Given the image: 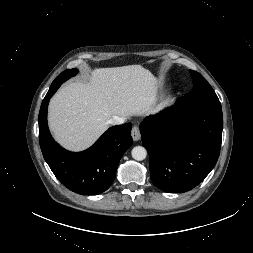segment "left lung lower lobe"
I'll use <instances>...</instances> for the list:
<instances>
[{"instance_id": "1", "label": "left lung lower lobe", "mask_w": 253, "mask_h": 253, "mask_svg": "<svg viewBox=\"0 0 253 253\" xmlns=\"http://www.w3.org/2000/svg\"><path fill=\"white\" fill-rule=\"evenodd\" d=\"M223 129L221 106L176 104L140 124L149 153L150 177L167 193L200 184L214 168Z\"/></svg>"}]
</instances>
